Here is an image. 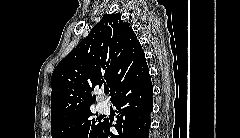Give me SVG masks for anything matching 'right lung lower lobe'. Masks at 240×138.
Here are the masks:
<instances>
[{
    "mask_svg": "<svg viewBox=\"0 0 240 138\" xmlns=\"http://www.w3.org/2000/svg\"><path fill=\"white\" fill-rule=\"evenodd\" d=\"M152 94L149 73L138 83L120 90L112 98V103L119 110L114 125L117 132H110L111 124L104 121L94 138H148Z\"/></svg>",
    "mask_w": 240,
    "mask_h": 138,
    "instance_id": "right-lung-lower-lobe-1",
    "label": "right lung lower lobe"
}]
</instances>
